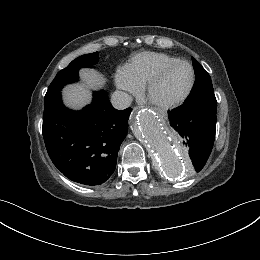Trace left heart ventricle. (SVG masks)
Here are the masks:
<instances>
[{"label":"left heart ventricle","instance_id":"obj_1","mask_svg":"<svg viewBox=\"0 0 260 260\" xmlns=\"http://www.w3.org/2000/svg\"><path fill=\"white\" fill-rule=\"evenodd\" d=\"M192 78L191 69L181 64L170 70L154 88L152 98L155 101H171L180 97L188 88Z\"/></svg>","mask_w":260,"mask_h":260}]
</instances>
